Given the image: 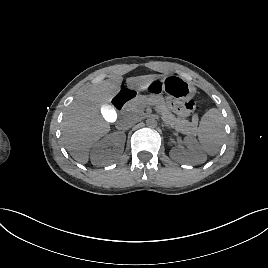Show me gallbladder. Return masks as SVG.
<instances>
[{
    "label": "gallbladder",
    "instance_id": "bac80fb5",
    "mask_svg": "<svg viewBox=\"0 0 268 268\" xmlns=\"http://www.w3.org/2000/svg\"><path fill=\"white\" fill-rule=\"evenodd\" d=\"M101 116L104 120L111 122L117 119L118 112L117 110L109 104L103 105L100 110Z\"/></svg>",
    "mask_w": 268,
    "mask_h": 268
}]
</instances>
